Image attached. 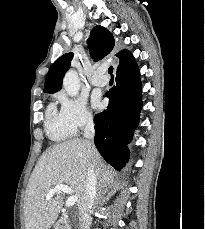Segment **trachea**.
Returning <instances> with one entry per match:
<instances>
[{
  "label": "trachea",
  "instance_id": "trachea-1",
  "mask_svg": "<svg viewBox=\"0 0 205 229\" xmlns=\"http://www.w3.org/2000/svg\"><path fill=\"white\" fill-rule=\"evenodd\" d=\"M108 72H109V74L113 77V75H112V72H113V67H112V66H111V67H109Z\"/></svg>",
  "mask_w": 205,
  "mask_h": 229
}]
</instances>
